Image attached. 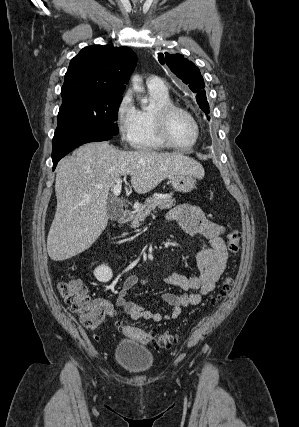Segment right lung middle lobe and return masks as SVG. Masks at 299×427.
I'll use <instances>...</instances> for the list:
<instances>
[{
    "instance_id": "obj_1",
    "label": "right lung middle lobe",
    "mask_w": 299,
    "mask_h": 427,
    "mask_svg": "<svg viewBox=\"0 0 299 427\" xmlns=\"http://www.w3.org/2000/svg\"><path fill=\"white\" fill-rule=\"evenodd\" d=\"M121 95L79 94L62 99L52 145L79 136H114Z\"/></svg>"
}]
</instances>
